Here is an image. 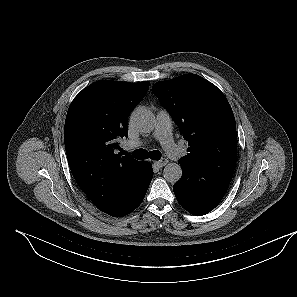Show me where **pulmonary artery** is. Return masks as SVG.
Listing matches in <instances>:
<instances>
[{
  "instance_id": "obj_1",
  "label": "pulmonary artery",
  "mask_w": 297,
  "mask_h": 297,
  "mask_svg": "<svg viewBox=\"0 0 297 297\" xmlns=\"http://www.w3.org/2000/svg\"><path fill=\"white\" fill-rule=\"evenodd\" d=\"M153 136L160 141L165 151L172 157L180 158L183 154L182 149L174 142L172 137V120L165 110L157 113L156 124ZM142 141H127L124 145L127 148L141 146Z\"/></svg>"
}]
</instances>
